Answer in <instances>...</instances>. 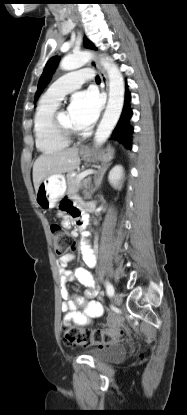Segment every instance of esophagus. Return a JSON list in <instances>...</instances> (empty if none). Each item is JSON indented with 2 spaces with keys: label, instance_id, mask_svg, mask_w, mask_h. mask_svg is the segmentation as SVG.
<instances>
[{
  "label": "esophagus",
  "instance_id": "esophagus-1",
  "mask_svg": "<svg viewBox=\"0 0 187 415\" xmlns=\"http://www.w3.org/2000/svg\"><path fill=\"white\" fill-rule=\"evenodd\" d=\"M89 65L92 68L98 69V71L100 73L101 81H102L103 91L107 93L108 92V78H107L106 73L100 68V66L98 65V63L95 60H91L89 62Z\"/></svg>",
  "mask_w": 187,
  "mask_h": 415
}]
</instances>
